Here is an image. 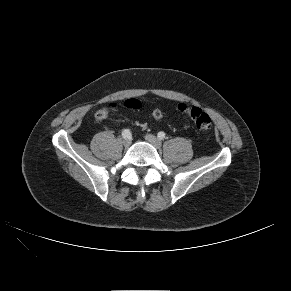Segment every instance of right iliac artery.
Segmentation results:
<instances>
[{
	"mask_svg": "<svg viewBox=\"0 0 291 291\" xmlns=\"http://www.w3.org/2000/svg\"><path fill=\"white\" fill-rule=\"evenodd\" d=\"M131 136V132H130V130L129 129H125V130H123V132H122V137L123 138H129Z\"/></svg>",
	"mask_w": 291,
	"mask_h": 291,
	"instance_id": "82829eb1",
	"label": "right iliac artery"
}]
</instances>
